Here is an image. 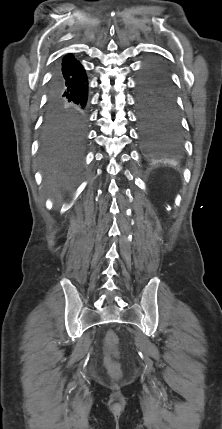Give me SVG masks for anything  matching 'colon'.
I'll list each match as a JSON object with an SVG mask.
<instances>
[{
	"label": "colon",
	"mask_w": 222,
	"mask_h": 429,
	"mask_svg": "<svg viewBox=\"0 0 222 429\" xmlns=\"http://www.w3.org/2000/svg\"><path fill=\"white\" fill-rule=\"evenodd\" d=\"M106 353H107V369L113 378H119L122 374L120 365L115 361L117 355V337L112 331H108L105 336Z\"/></svg>",
	"instance_id": "1"
}]
</instances>
